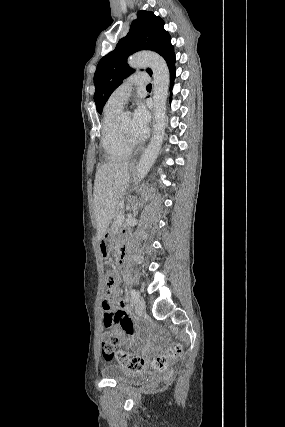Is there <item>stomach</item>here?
I'll list each match as a JSON object with an SVG mask.
<instances>
[{"label":"stomach","instance_id":"1","mask_svg":"<svg viewBox=\"0 0 285 427\" xmlns=\"http://www.w3.org/2000/svg\"><path fill=\"white\" fill-rule=\"evenodd\" d=\"M112 243H113V234L111 232H106L102 236L99 242V249L103 257L105 258L109 257L112 250Z\"/></svg>","mask_w":285,"mask_h":427}]
</instances>
